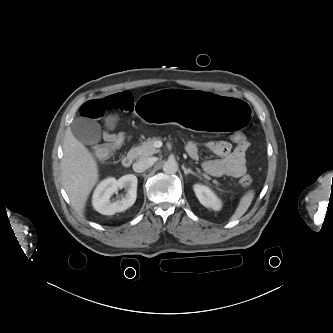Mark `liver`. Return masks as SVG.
Here are the masks:
<instances>
[{
	"instance_id": "liver-1",
	"label": "liver",
	"mask_w": 333,
	"mask_h": 333,
	"mask_svg": "<svg viewBox=\"0 0 333 333\" xmlns=\"http://www.w3.org/2000/svg\"><path fill=\"white\" fill-rule=\"evenodd\" d=\"M62 183L72 205L83 213L90 192L98 181L97 162L68 129L63 142Z\"/></svg>"
}]
</instances>
